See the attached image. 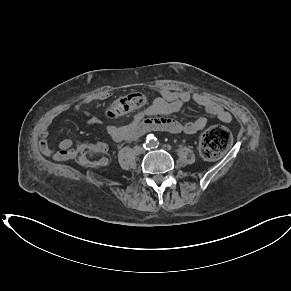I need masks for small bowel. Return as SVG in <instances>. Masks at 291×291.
Listing matches in <instances>:
<instances>
[{"instance_id": "obj_1", "label": "small bowel", "mask_w": 291, "mask_h": 291, "mask_svg": "<svg viewBox=\"0 0 291 291\" xmlns=\"http://www.w3.org/2000/svg\"><path fill=\"white\" fill-rule=\"evenodd\" d=\"M150 90L156 94V98L150 105L137 110L128 124L107 126L106 131L115 142L133 141L146 132L153 130L189 135L203 130L208 123V119L205 116H199L184 123L168 117L180 112L184 104L191 101L201 106L207 114L215 116L222 123H230L232 121L231 113L207 94L194 93L187 90L172 91L160 86L152 87ZM111 97L112 93L86 97L47 116L42 123L38 136L40 151L55 161L73 159L75 151L71 139L59 140L57 143L58 151L49 147L47 137L49 136L50 126L60 114L68 110L81 112L85 117V123L88 125L97 124L99 122L98 117L90 114L87 106L96 101L108 100ZM98 145L104 152L108 150L106 144L99 143Z\"/></svg>"}]
</instances>
